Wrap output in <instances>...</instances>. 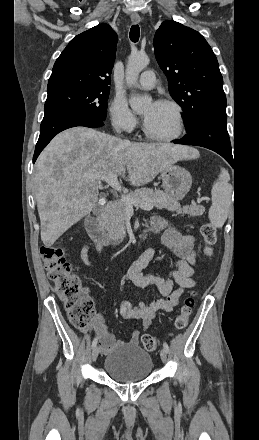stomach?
<instances>
[{
  "label": "stomach",
  "mask_w": 259,
  "mask_h": 440,
  "mask_svg": "<svg viewBox=\"0 0 259 440\" xmlns=\"http://www.w3.org/2000/svg\"><path fill=\"white\" fill-rule=\"evenodd\" d=\"M162 186L165 193L182 200L189 192L192 185V176L184 168L177 165H170L161 171Z\"/></svg>",
  "instance_id": "0dacf381"
}]
</instances>
